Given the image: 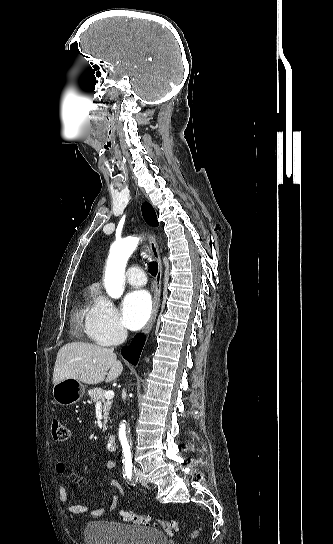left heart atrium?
<instances>
[{
  "label": "left heart atrium",
  "mask_w": 333,
  "mask_h": 544,
  "mask_svg": "<svg viewBox=\"0 0 333 544\" xmlns=\"http://www.w3.org/2000/svg\"><path fill=\"white\" fill-rule=\"evenodd\" d=\"M151 297L145 290L130 292L124 299L122 315L125 325L138 330L148 321L151 314Z\"/></svg>",
  "instance_id": "39dd6f15"
}]
</instances>
